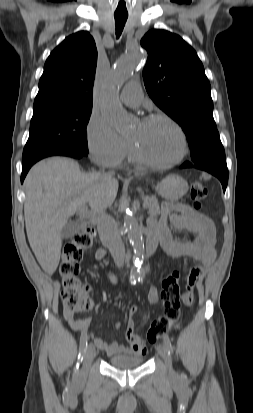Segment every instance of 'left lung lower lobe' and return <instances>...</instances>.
Segmentation results:
<instances>
[{
	"label": "left lung lower lobe",
	"instance_id": "left-lung-lower-lobe-1",
	"mask_svg": "<svg viewBox=\"0 0 253 413\" xmlns=\"http://www.w3.org/2000/svg\"><path fill=\"white\" fill-rule=\"evenodd\" d=\"M195 167L200 170L207 171L211 173L212 175L216 176L222 183L223 186V191L225 192L227 183H228V169H227V164L226 161L220 160V161H211L207 162L201 165H195L191 162H185L184 164L181 165V168H191Z\"/></svg>",
	"mask_w": 253,
	"mask_h": 413
}]
</instances>
